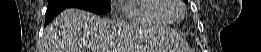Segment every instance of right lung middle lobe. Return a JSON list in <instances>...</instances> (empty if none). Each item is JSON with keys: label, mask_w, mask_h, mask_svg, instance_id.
Segmentation results:
<instances>
[{"label": "right lung middle lobe", "mask_w": 261, "mask_h": 52, "mask_svg": "<svg viewBox=\"0 0 261 52\" xmlns=\"http://www.w3.org/2000/svg\"><path fill=\"white\" fill-rule=\"evenodd\" d=\"M50 6L81 8L96 14H103L110 11L109 0H48V7Z\"/></svg>", "instance_id": "1"}]
</instances>
